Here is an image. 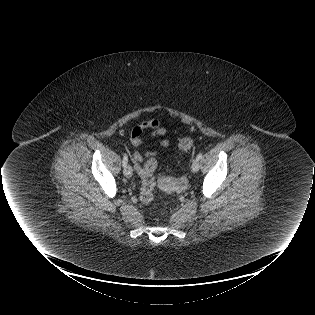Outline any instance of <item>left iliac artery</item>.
<instances>
[{
	"label": "left iliac artery",
	"instance_id": "44dca946",
	"mask_svg": "<svg viewBox=\"0 0 315 315\" xmlns=\"http://www.w3.org/2000/svg\"><path fill=\"white\" fill-rule=\"evenodd\" d=\"M203 154L202 153H199L196 157L197 160H200L202 158Z\"/></svg>",
	"mask_w": 315,
	"mask_h": 315
}]
</instances>
